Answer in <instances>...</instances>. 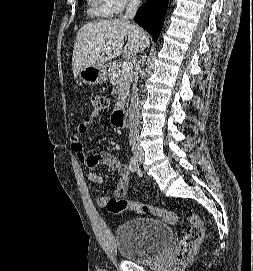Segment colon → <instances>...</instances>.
Segmentation results:
<instances>
[{
    "instance_id": "colon-1",
    "label": "colon",
    "mask_w": 253,
    "mask_h": 271,
    "mask_svg": "<svg viewBox=\"0 0 253 271\" xmlns=\"http://www.w3.org/2000/svg\"><path fill=\"white\" fill-rule=\"evenodd\" d=\"M91 103L95 112L104 110L107 106V99L100 94L91 95ZM112 214H122L126 211H134L140 214H150L159 217L164 222L175 225L181 219L179 213L160 209L151 205L142 204L136 201H128L120 198L109 199L104 206ZM189 225L176 247L175 259L187 261L196 251L198 245L204 238V229L201 218L197 214H190L187 217Z\"/></svg>"
}]
</instances>
